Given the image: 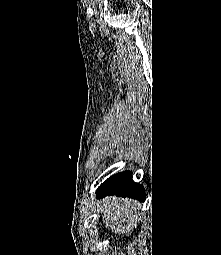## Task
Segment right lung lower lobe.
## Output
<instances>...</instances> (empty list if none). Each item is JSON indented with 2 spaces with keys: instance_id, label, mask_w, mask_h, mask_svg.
<instances>
[{
  "instance_id": "obj_1",
  "label": "right lung lower lobe",
  "mask_w": 221,
  "mask_h": 255,
  "mask_svg": "<svg viewBox=\"0 0 221 255\" xmlns=\"http://www.w3.org/2000/svg\"><path fill=\"white\" fill-rule=\"evenodd\" d=\"M98 197L117 195L131 197L144 201L146 193L144 187L132 180V172L118 173L107 179L97 190Z\"/></svg>"
}]
</instances>
